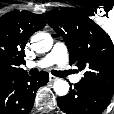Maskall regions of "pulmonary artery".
I'll list each match as a JSON object with an SVG mask.
<instances>
[{"mask_svg": "<svg viewBox=\"0 0 114 114\" xmlns=\"http://www.w3.org/2000/svg\"><path fill=\"white\" fill-rule=\"evenodd\" d=\"M67 60L68 52L66 46L61 42H57L48 55L37 62H28L27 67H48L54 64L58 65L59 67H64L67 63ZM70 79L73 83H78L80 81L79 76H72Z\"/></svg>", "mask_w": 114, "mask_h": 114, "instance_id": "obj_1", "label": "pulmonary artery"}]
</instances>
